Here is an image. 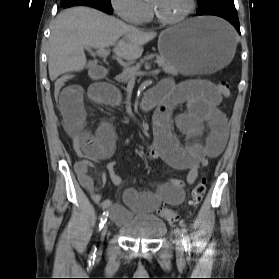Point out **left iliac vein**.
<instances>
[{"label":"left iliac vein","instance_id":"1","mask_svg":"<svg viewBox=\"0 0 279 279\" xmlns=\"http://www.w3.org/2000/svg\"><path fill=\"white\" fill-rule=\"evenodd\" d=\"M175 236H176V251L178 257L183 256L184 248H183V240H182V232L179 229L175 230Z\"/></svg>","mask_w":279,"mask_h":279}]
</instances>
